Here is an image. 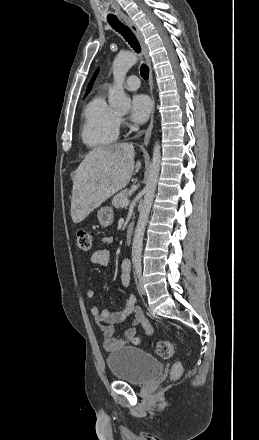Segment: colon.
<instances>
[{
  "mask_svg": "<svg viewBox=\"0 0 259 440\" xmlns=\"http://www.w3.org/2000/svg\"><path fill=\"white\" fill-rule=\"evenodd\" d=\"M76 247L81 252H89L93 248V237L86 229H80L76 234ZM135 344L140 343V339H134ZM156 352L162 358H170L176 352V344L172 341L164 340L156 344ZM182 372V365L180 362H175L171 368L170 376L175 379L180 376Z\"/></svg>",
  "mask_w": 259,
  "mask_h": 440,
  "instance_id": "1",
  "label": "colon"
}]
</instances>
